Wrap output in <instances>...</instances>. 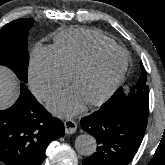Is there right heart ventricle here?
I'll return each mask as SVG.
<instances>
[{"mask_svg": "<svg viewBox=\"0 0 165 165\" xmlns=\"http://www.w3.org/2000/svg\"><path fill=\"white\" fill-rule=\"evenodd\" d=\"M114 45L116 43L110 37L98 30L73 28L57 34L51 50L62 69L70 75L91 51Z\"/></svg>", "mask_w": 165, "mask_h": 165, "instance_id": "right-heart-ventricle-1", "label": "right heart ventricle"}]
</instances>
